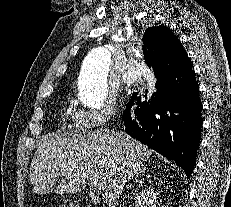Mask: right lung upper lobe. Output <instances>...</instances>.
<instances>
[{"label":"right lung upper lobe","mask_w":231,"mask_h":207,"mask_svg":"<svg viewBox=\"0 0 231 207\" xmlns=\"http://www.w3.org/2000/svg\"><path fill=\"white\" fill-rule=\"evenodd\" d=\"M143 44L145 62L156 72L178 69L190 63L181 42L167 27H156L147 39H143Z\"/></svg>","instance_id":"cb5924a9"}]
</instances>
